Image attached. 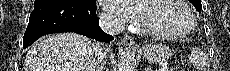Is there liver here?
Returning a JSON list of instances; mask_svg holds the SVG:
<instances>
[{"label": "liver", "mask_w": 230, "mask_h": 71, "mask_svg": "<svg viewBox=\"0 0 230 71\" xmlns=\"http://www.w3.org/2000/svg\"><path fill=\"white\" fill-rule=\"evenodd\" d=\"M92 45L89 38L75 33L45 36L28 51L24 71H85Z\"/></svg>", "instance_id": "liver-1"}]
</instances>
